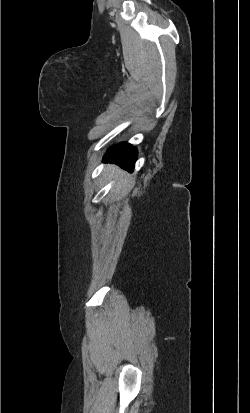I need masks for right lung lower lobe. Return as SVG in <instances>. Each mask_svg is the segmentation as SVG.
<instances>
[{"mask_svg":"<svg viewBox=\"0 0 250 413\" xmlns=\"http://www.w3.org/2000/svg\"><path fill=\"white\" fill-rule=\"evenodd\" d=\"M136 159L137 150L130 144L121 143L116 145L114 148L109 149L107 154H105L103 161L116 163L131 172L133 171Z\"/></svg>","mask_w":250,"mask_h":413,"instance_id":"right-lung-lower-lobe-1","label":"right lung lower lobe"}]
</instances>
